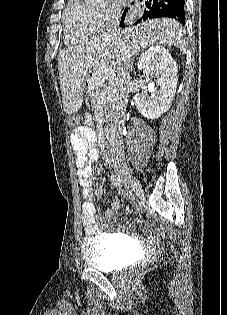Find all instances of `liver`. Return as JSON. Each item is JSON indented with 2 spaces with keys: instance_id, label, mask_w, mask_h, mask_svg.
<instances>
[{
  "instance_id": "obj_1",
  "label": "liver",
  "mask_w": 227,
  "mask_h": 315,
  "mask_svg": "<svg viewBox=\"0 0 227 315\" xmlns=\"http://www.w3.org/2000/svg\"><path fill=\"white\" fill-rule=\"evenodd\" d=\"M156 44L174 45L185 53L182 25L170 18L151 19L119 30L115 36L102 35L62 50L57 60L64 111L72 114L82 107L83 87L90 72L112 80L125 62L130 67L132 57Z\"/></svg>"
}]
</instances>
